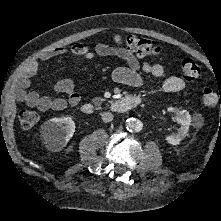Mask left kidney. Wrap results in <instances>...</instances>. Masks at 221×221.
Instances as JSON below:
<instances>
[{
	"mask_svg": "<svg viewBox=\"0 0 221 221\" xmlns=\"http://www.w3.org/2000/svg\"><path fill=\"white\" fill-rule=\"evenodd\" d=\"M170 112H175L177 114L176 120L180 124L179 132L172 135L166 136V141L172 145H178L181 140L189 136V126L191 124V116L186 110H178L170 107Z\"/></svg>",
	"mask_w": 221,
	"mask_h": 221,
	"instance_id": "left-kidney-1",
	"label": "left kidney"
}]
</instances>
